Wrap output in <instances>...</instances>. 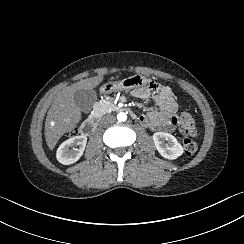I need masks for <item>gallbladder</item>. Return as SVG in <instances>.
I'll return each mask as SVG.
<instances>
[{
  "instance_id": "obj_1",
  "label": "gallbladder",
  "mask_w": 244,
  "mask_h": 244,
  "mask_svg": "<svg viewBox=\"0 0 244 244\" xmlns=\"http://www.w3.org/2000/svg\"><path fill=\"white\" fill-rule=\"evenodd\" d=\"M96 100H97L96 92L92 89L77 90L74 94V102H75L76 106L81 111L86 112V113H88L92 109Z\"/></svg>"
}]
</instances>
